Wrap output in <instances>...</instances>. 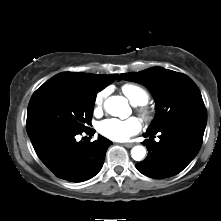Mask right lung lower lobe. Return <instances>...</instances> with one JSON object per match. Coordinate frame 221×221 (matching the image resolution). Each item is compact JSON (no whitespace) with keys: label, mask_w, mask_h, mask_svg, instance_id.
I'll list each match as a JSON object with an SVG mask.
<instances>
[{"label":"right lung lower lobe","mask_w":221,"mask_h":221,"mask_svg":"<svg viewBox=\"0 0 221 221\" xmlns=\"http://www.w3.org/2000/svg\"><path fill=\"white\" fill-rule=\"evenodd\" d=\"M27 133L46 167L70 182L94 177L102 168L107 148L112 144L101 135L93 142H77L75 137L81 133L56 127H38Z\"/></svg>","instance_id":"98d812e1"}]
</instances>
